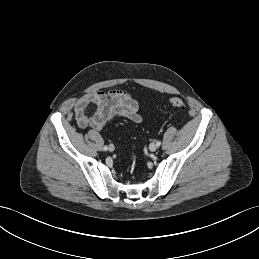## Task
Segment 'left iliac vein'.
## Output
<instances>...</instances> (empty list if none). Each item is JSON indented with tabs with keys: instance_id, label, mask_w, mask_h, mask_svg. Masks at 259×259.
I'll return each mask as SVG.
<instances>
[{
	"instance_id": "obj_1",
	"label": "left iliac vein",
	"mask_w": 259,
	"mask_h": 259,
	"mask_svg": "<svg viewBox=\"0 0 259 259\" xmlns=\"http://www.w3.org/2000/svg\"><path fill=\"white\" fill-rule=\"evenodd\" d=\"M157 148H158V146H157L155 143H151V144L149 145V150H150L151 152H155V151L157 150Z\"/></svg>"
}]
</instances>
